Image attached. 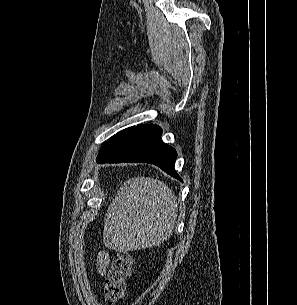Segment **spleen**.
Instances as JSON below:
<instances>
[{
	"label": "spleen",
	"instance_id": "1",
	"mask_svg": "<svg viewBox=\"0 0 297 305\" xmlns=\"http://www.w3.org/2000/svg\"><path fill=\"white\" fill-rule=\"evenodd\" d=\"M177 212L176 197L164 182L130 178L108 207L104 234L116 249L152 247L170 238Z\"/></svg>",
	"mask_w": 297,
	"mask_h": 305
}]
</instances>
